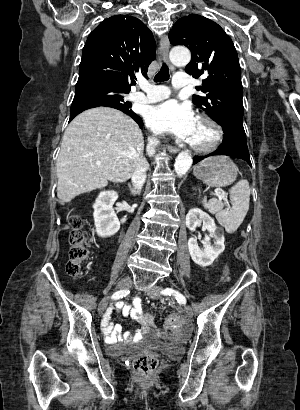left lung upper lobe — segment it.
Instances as JSON below:
<instances>
[{"label":"left lung upper lobe","mask_w":300,"mask_h":410,"mask_svg":"<svg viewBox=\"0 0 300 410\" xmlns=\"http://www.w3.org/2000/svg\"><path fill=\"white\" fill-rule=\"evenodd\" d=\"M172 45H185L192 58L185 70L205 79L193 95V103L221 123L226 119L243 123L241 69L230 37L212 20L190 14L180 18L169 32Z\"/></svg>","instance_id":"obj_1"}]
</instances>
